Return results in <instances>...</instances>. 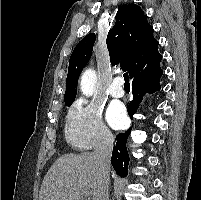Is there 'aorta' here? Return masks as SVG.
I'll return each instance as SVG.
<instances>
[{"label": "aorta", "mask_w": 201, "mask_h": 200, "mask_svg": "<svg viewBox=\"0 0 201 200\" xmlns=\"http://www.w3.org/2000/svg\"><path fill=\"white\" fill-rule=\"evenodd\" d=\"M96 83V72L93 69H87L81 76V91L86 96H91Z\"/></svg>", "instance_id": "1"}]
</instances>
